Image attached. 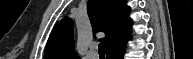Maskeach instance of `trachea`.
Here are the masks:
<instances>
[{
  "mask_svg": "<svg viewBox=\"0 0 193 59\" xmlns=\"http://www.w3.org/2000/svg\"><path fill=\"white\" fill-rule=\"evenodd\" d=\"M98 53H99V55H105V44H104V42L99 43Z\"/></svg>",
  "mask_w": 193,
  "mask_h": 59,
  "instance_id": "3493384b",
  "label": "trachea"
}]
</instances>
